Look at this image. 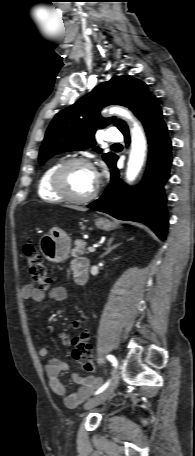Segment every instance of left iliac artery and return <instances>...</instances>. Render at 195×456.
Masks as SVG:
<instances>
[{"label":"left iliac artery","instance_id":"1","mask_svg":"<svg viewBox=\"0 0 195 456\" xmlns=\"http://www.w3.org/2000/svg\"><path fill=\"white\" fill-rule=\"evenodd\" d=\"M107 359L113 364V366H115V367L117 366L118 362H117L116 358H115L113 355H107ZM109 382H110V381L106 382L102 387H100V388L95 392V394L97 395V394L103 392V391L108 387Z\"/></svg>","mask_w":195,"mask_h":456}]
</instances>
